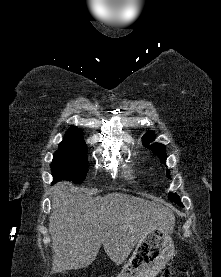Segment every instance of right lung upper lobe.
Instances as JSON below:
<instances>
[{"label":"right lung upper lobe","instance_id":"right-lung-upper-lobe-1","mask_svg":"<svg viewBox=\"0 0 221 277\" xmlns=\"http://www.w3.org/2000/svg\"><path fill=\"white\" fill-rule=\"evenodd\" d=\"M65 140H83L81 132L76 127H71L64 136Z\"/></svg>","mask_w":221,"mask_h":277}]
</instances>
